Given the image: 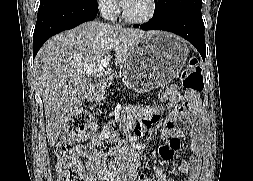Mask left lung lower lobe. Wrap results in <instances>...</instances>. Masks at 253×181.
Masks as SVG:
<instances>
[{"label": "left lung lower lobe", "instance_id": "1", "mask_svg": "<svg viewBox=\"0 0 253 181\" xmlns=\"http://www.w3.org/2000/svg\"><path fill=\"white\" fill-rule=\"evenodd\" d=\"M143 30H164L175 33L194 45L203 60L206 56L204 23L201 10L183 9L169 15L152 18L142 25H134Z\"/></svg>", "mask_w": 253, "mask_h": 181}]
</instances>
